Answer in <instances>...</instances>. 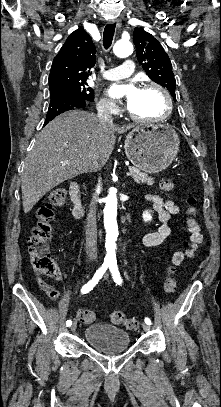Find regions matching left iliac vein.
Instances as JSON below:
<instances>
[{"label":"left iliac vein","mask_w":221,"mask_h":407,"mask_svg":"<svg viewBox=\"0 0 221 407\" xmlns=\"http://www.w3.org/2000/svg\"><path fill=\"white\" fill-rule=\"evenodd\" d=\"M142 328L144 331H149L151 329L150 325L143 323Z\"/></svg>","instance_id":"obj_1"}]
</instances>
